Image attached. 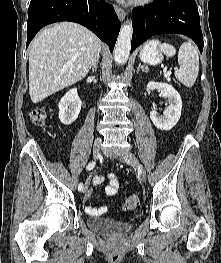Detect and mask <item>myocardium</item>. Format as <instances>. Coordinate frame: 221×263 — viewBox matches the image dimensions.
<instances>
[{"instance_id":"f54148a6","label":"myocardium","mask_w":221,"mask_h":263,"mask_svg":"<svg viewBox=\"0 0 221 263\" xmlns=\"http://www.w3.org/2000/svg\"><path fill=\"white\" fill-rule=\"evenodd\" d=\"M153 0H136L137 4L139 5H146L148 3H150Z\"/></svg>"}]
</instances>
